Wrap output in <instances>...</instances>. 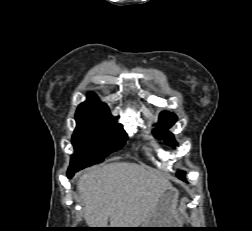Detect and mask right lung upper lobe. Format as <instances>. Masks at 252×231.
I'll return each mask as SVG.
<instances>
[{
    "instance_id": "1",
    "label": "right lung upper lobe",
    "mask_w": 252,
    "mask_h": 231,
    "mask_svg": "<svg viewBox=\"0 0 252 231\" xmlns=\"http://www.w3.org/2000/svg\"><path fill=\"white\" fill-rule=\"evenodd\" d=\"M87 101L81 103L76 113L79 114H109L108 106L99 101L98 97L94 93H89L87 96Z\"/></svg>"
}]
</instances>
